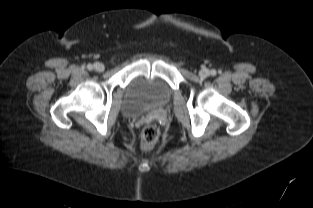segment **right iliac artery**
<instances>
[{
    "instance_id": "right-iliac-artery-1",
    "label": "right iliac artery",
    "mask_w": 313,
    "mask_h": 208,
    "mask_svg": "<svg viewBox=\"0 0 313 208\" xmlns=\"http://www.w3.org/2000/svg\"><path fill=\"white\" fill-rule=\"evenodd\" d=\"M92 68H93V67H92L91 64H88V65H87V69H88V70H92Z\"/></svg>"
}]
</instances>
